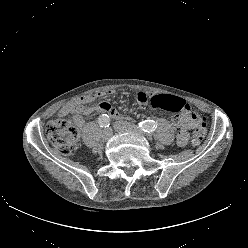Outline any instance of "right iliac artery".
I'll return each instance as SVG.
<instances>
[{"instance_id":"82829eb1","label":"right iliac artery","mask_w":248,"mask_h":248,"mask_svg":"<svg viewBox=\"0 0 248 248\" xmlns=\"http://www.w3.org/2000/svg\"><path fill=\"white\" fill-rule=\"evenodd\" d=\"M98 123H99L100 127H102V128L109 127V125H110L109 116H108L107 114H102V115L98 118Z\"/></svg>"}]
</instances>
